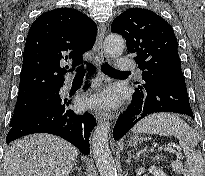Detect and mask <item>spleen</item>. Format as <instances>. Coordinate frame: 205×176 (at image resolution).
Wrapping results in <instances>:
<instances>
[{"instance_id": "obj_1", "label": "spleen", "mask_w": 205, "mask_h": 176, "mask_svg": "<svg viewBox=\"0 0 205 176\" xmlns=\"http://www.w3.org/2000/svg\"><path fill=\"white\" fill-rule=\"evenodd\" d=\"M133 133L174 135L179 140L186 162L183 169L184 176H203L204 159L195 147L199 142L197 132L183 119L171 113H156L139 121L132 129Z\"/></svg>"}]
</instances>
